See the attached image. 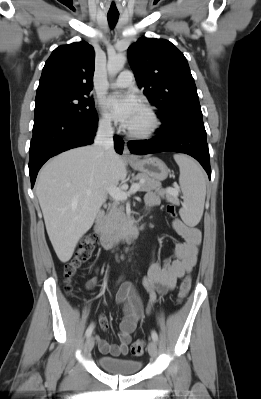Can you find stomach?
Instances as JSON below:
<instances>
[{"label": "stomach", "mask_w": 261, "mask_h": 399, "mask_svg": "<svg viewBox=\"0 0 261 399\" xmlns=\"http://www.w3.org/2000/svg\"><path fill=\"white\" fill-rule=\"evenodd\" d=\"M130 165L141 174L158 181L166 179L169 173L167 165L157 157L136 159L130 161Z\"/></svg>", "instance_id": "0dacf381"}]
</instances>
